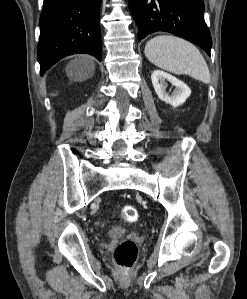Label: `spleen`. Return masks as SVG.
<instances>
[{
    "mask_svg": "<svg viewBox=\"0 0 247 299\" xmlns=\"http://www.w3.org/2000/svg\"><path fill=\"white\" fill-rule=\"evenodd\" d=\"M147 59L157 67L174 74H186L205 84L210 83L208 65L192 43L171 35L149 40L144 50Z\"/></svg>",
    "mask_w": 247,
    "mask_h": 299,
    "instance_id": "1",
    "label": "spleen"
}]
</instances>
